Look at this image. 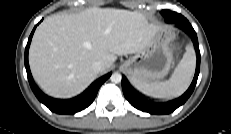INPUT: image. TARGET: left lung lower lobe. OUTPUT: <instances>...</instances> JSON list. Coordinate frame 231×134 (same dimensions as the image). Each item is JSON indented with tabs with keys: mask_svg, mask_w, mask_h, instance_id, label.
<instances>
[{
	"mask_svg": "<svg viewBox=\"0 0 231 134\" xmlns=\"http://www.w3.org/2000/svg\"><path fill=\"white\" fill-rule=\"evenodd\" d=\"M166 21L176 23L177 26L181 27L191 35L197 53L196 72L192 84L190 85L188 90L181 97L165 103L152 102L140 97L129 88L125 79L122 78V90L125 98L129 101V103L135 108L151 114H169L173 112L176 108L184 104L186 100L190 97V95L192 94L195 88L197 78L199 75V70H200V52H199L198 39H197V34L194 31L191 24L188 22V20L185 17L175 12H173V15H170Z\"/></svg>",
	"mask_w": 231,
	"mask_h": 134,
	"instance_id": "0a47b994",
	"label": "left lung lower lobe"
}]
</instances>
